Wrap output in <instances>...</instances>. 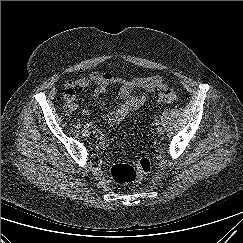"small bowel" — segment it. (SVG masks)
Segmentation results:
<instances>
[{"label": "small bowel", "instance_id": "c3829d8e", "mask_svg": "<svg viewBox=\"0 0 243 243\" xmlns=\"http://www.w3.org/2000/svg\"><path fill=\"white\" fill-rule=\"evenodd\" d=\"M112 84L120 86V101L115 104L114 108L107 115V122L109 125L120 123L131 112L142 107L147 99L146 93H154L166 88L163 78L157 75L126 79L114 76L108 72H92L88 76L69 80L65 83V100L68 109L74 111L77 108L75 103L76 88L94 86V97L99 98ZM136 91L140 93L137 94ZM82 113L85 116H89L91 114V109L86 107L82 110ZM94 135L99 140L100 144L105 145L107 143L101 129L96 128L94 130Z\"/></svg>", "mask_w": 243, "mask_h": 243}]
</instances>
